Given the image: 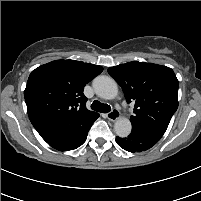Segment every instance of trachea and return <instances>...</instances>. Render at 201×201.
Segmentation results:
<instances>
[{
	"instance_id": "3493384b",
	"label": "trachea",
	"mask_w": 201,
	"mask_h": 201,
	"mask_svg": "<svg viewBox=\"0 0 201 201\" xmlns=\"http://www.w3.org/2000/svg\"><path fill=\"white\" fill-rule=\"evenodd\" d=\"M91 108L97 112L108 113L111 110L110 105L101 103L98 100L93 101Z\"/></svg>"
}]
</instances>
